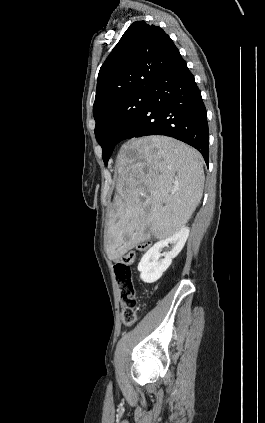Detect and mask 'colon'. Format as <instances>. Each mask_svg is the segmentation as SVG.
I'll use <instances>...</instances> for the list:
<instances>
[{
  "label": "colon",
  "mask_w": 265,
  "mask_h": 423,
  "mask_svg": "<svg viewBox=\"0 0 265 423\" xmlns=\"http://www.w3.org/2000/svg\"><path fill=\"white\" fill-rule=\"evenodd\" d=\"M148 244H140L139 249L144 250ZM135 253L129 251L114 263V273L120 286V299L123 304L122 320L127 326L136 321V307L138 304L136 291L132 280L131 265L134 261Z\"/></svg>",
  "instance_id": "5ec220e1"
}]
</instances>
